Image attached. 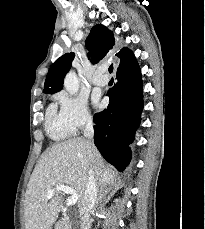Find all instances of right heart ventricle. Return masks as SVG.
Returning a JSON list of instances; mask_svg holds the SVG:
<instances>
[{"label": "right heart ventricle", "mask_w": 205, "mask_h": 229, "mask_svg": "<svg viewBox=\"0 0 205 229\" xmlns=\"http://www.w3.org/2000/svg\"><path fill=\"white\" fill-rule=\"evenodd\" d=\"M45 126L48 136L55 141L68 139L74 133L64 122L54 105H50L46 111Z\"/></svg>", "instance_id": "1"}]
</instances>
